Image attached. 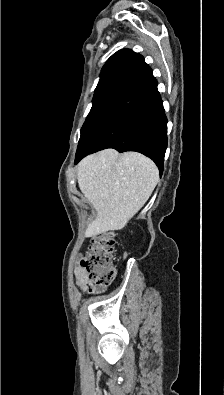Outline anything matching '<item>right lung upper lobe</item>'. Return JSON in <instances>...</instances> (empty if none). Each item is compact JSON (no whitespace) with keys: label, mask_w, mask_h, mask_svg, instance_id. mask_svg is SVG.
Instances as JSON below:
<instances>
[{"label":"right lung upper lobe","mask_w":224,"mask_h":395,"mask_svg":"<svg viewBox=\"0 0 224 395\" xmlns=\"http://www.w3.org/2000/svg\"><path fill=\"white\" fill-rule=\"evenodd\" d=\"M136 53L130 49H122L113 54L102 68L100 77L119 72L122 66Z\"/></svg>","instance_id":"cb5924a9"}]
</instances>
